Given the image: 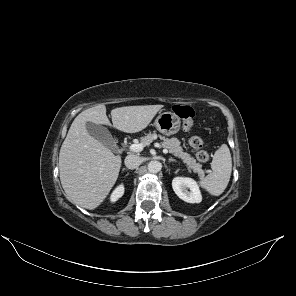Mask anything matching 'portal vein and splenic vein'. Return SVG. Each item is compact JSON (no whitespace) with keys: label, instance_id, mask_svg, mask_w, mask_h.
<instances>
[{"label":"portal vein and splenic vein","instance_id":"obj_1","mask_svg":"<svg viewBox=\"0 0 296 296\" xmlns=\"http://www.w3.org/2000/svg\"><path fill=\"white\" fill-rule=\"evenodd\" d=\"M145 145L143 143L131 144L129 146L130 151L132 152H141L144 149ZM164 153H168L167 149H163Z\"/></svg>","mask_w":296,"mask_h":296}]
</instances>
